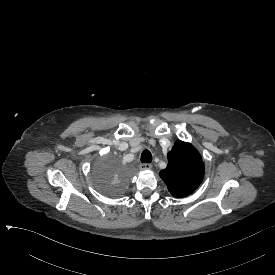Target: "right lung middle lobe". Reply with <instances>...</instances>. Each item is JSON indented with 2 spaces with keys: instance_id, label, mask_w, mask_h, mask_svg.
<instances>
[{
  "instance_id": "right-lung-middle-lobe-1",
  "label": "right lung middle lobe",
  "mask_w": 275,
  "mask_h": 275,
  "mask_svg": "<svg viewBox=\"0 0 275 275\" xmlns=\"http://www.w3.org/2000/svg\"><path fill=\"white\" fill-rule=\"evenodd\" d=\"M99 190L108 197H117L130 181L127 163L115 153H104L93 164Z\"/></svg>"
}]
</instances>
